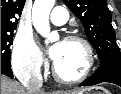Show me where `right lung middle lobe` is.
<instances>
[{"label":"right lung middle lobe","instance_id":"right-lung-middle-lobe-1","mask_svg":"<svg viewBox=\"0 0 121 94\" xmlns=\"http://www.w3.org/2000/svg\"><path fill=\"white\" fill-rule=\"evenodd\" d=\"M13 31H1V61L10 62Z\"/></svg>","mask_w":121,"mask_h":94}]
</instances>
